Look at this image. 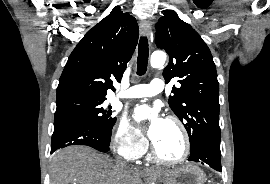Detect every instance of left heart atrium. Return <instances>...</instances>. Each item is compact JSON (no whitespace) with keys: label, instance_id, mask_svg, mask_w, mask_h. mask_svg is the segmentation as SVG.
Wrapping results in <instances>:
<instances>
[{"label":"left heart atrium","instance_id":"1","mask_svg":"<svg viewBox=\"0 0 270 184\" xmlns=\"http://www.w3.org/2000/svg\"><path fill=\"white\" fill-rule=\"evenodd\" d=\"M133 118L138 123L146 122L148 124V137L153 142L157 140L165 124V120L160 116L157 109L140 105L135 108Z\"/></svg>","mask_w":270,"mask_h":184}]
</instances>
